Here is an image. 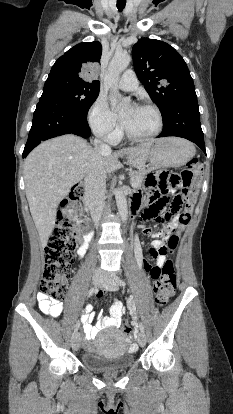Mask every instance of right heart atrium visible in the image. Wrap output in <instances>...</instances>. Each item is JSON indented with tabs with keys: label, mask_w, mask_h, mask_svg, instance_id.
<instances>
[{
	"label": "right heart atrium",
	"mask_w": 233,
	"mask_h": 414,
	"mask_svg": "<svg viewBox=\"0 0 233 414\" xmlns=\"http://www.w3.org/2000/svg\"><path fill=\"white\" fill-rule=\"evenodd\" d=\"M87 120L92 131L100 138L115 141L118 134V117L111 111L104 96L99 95L87 113Z\"/></svg>",
	"instance_id": "d8ad5b80"
}]
</instances>
